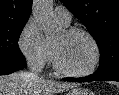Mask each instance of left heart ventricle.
Segmentation results:
<instances>
[{
  "label": "left heart ventricle",
  "instance_id": "1",
  "mask_svg": "<svg viewBox=\"0 0 119 95\" xmlns=\"http://www.w3.org/2000/svg\"><path fill=\"white\" fill-rule=\"evenodd\" d=\"M60 59L72 71H84L93 63L95 51L90 40L84 35L69 36L65 31L55 40Z\"/></svg>",
  "mask_w": 119,
  "mask_h": 95
}]
</instances>
